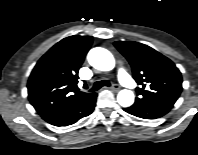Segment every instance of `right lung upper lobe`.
I'll list each match as a JSON object with an SVG mask.
<instances>
[{"mask_svg": "<svg viewBox=\"0 0 198 155\" xmlns=\"http://www.w3.org/2000/svg\"><path fill=\"white\" fill-rule=\"evenodd\" d=\"M92 40L91 36L64 38L37 62L28 80V98L41 116L68 107L89 94L79 91L76 84Z\"/></svg>", "mask_w": 198, "mask_h": 155, "instance_id": "1", "label": "right lung upper lobe"}]
</instances>
